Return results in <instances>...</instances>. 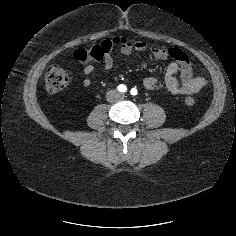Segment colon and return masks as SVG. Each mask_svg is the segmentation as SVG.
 <instances>
[{
    "label": "colon",
    "mask_w": 236,
    "mask_h": 236,
    "mask_svg": "<svg viewBox=\"0 0 236 236\" xmlns=\"http://www.w3.org/2000/svg\"><path fill=\"white\" fill-rule=\"evenodd\" d=\"M125 39L114 37L113 39L103 40L89 49H78L74 52V57L82 64L90 61H102L110 52L121 44ZM70 79V74L58 64H51L45 73V87L49 93H57L64 89ZM188 105L194 104L192 97L185 99Z\"/></svg>",
    "instance_id": "5ec220e1"
}]
</instances>
